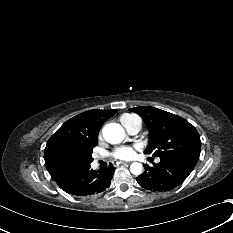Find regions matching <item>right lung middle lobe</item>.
<instances>
[{
  "instance_id": "obj_1",
  "label": "right lung middle lobe",
  "mask_w": 233,
  "mask_h": 233,
  "mask_svg": "<svg viewBox=\"0 0 233 233\" xmlns=\"http://www.w3.org/2000/svg\"><path fill=\"white\" fill-rule=\"evenodd\" d=\"M93 147L89 148L84 152H78L71 154L66 159V165L70 169L82 170L90 166V163L93 161L91 156Z\"/></svg>"
}]
</instances>
